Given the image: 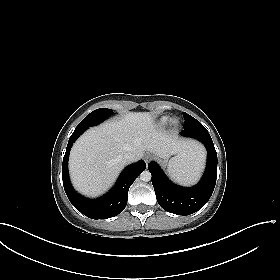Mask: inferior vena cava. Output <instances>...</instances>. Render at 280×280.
I'll use <instances>...</instances> for the list:
<instances>
[{"mask_svg": "<svg viewBox=\"0 0 280 280\" xmlns=\"http://www.w3.org/2000/svg\"><path fill=\"white\" fill-rule=\"evenodd\" d=\"M122 160L125 162V163H130V162H133L135 160V155L132 154V153H125L122 157Z\"/></svg>", "mask_w": 280, "mask_h": 280, "instance_id": "obj_1", "label": "inferior vena cava"}]
</instances>
